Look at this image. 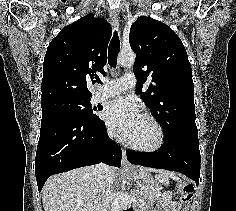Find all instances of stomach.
<instances>
[{
  "label": "stomach",
  "mask_w": 236,
  "mask_h": 211,
  "mask_svg": "<svg viewBox=\"0 0 236 211\" xmlns=\"http://www.w3.org/2000/svg\"><path fill=\"white\" fill-rule=\"evenodd\" d=\"M128 176L137 186L139 192L143 195L144 200L149 205H153L161 191L159 183L155 181L147 171L138 167H132L128 172Z\"/></svg>",
  "instance_id": "0dacf381"
}]
</instances>
